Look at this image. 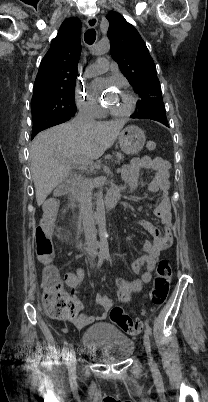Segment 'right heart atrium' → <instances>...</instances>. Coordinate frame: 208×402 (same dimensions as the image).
<instances>
[{
  "label": "right heart atrium",
  "mask_w": 208,
  "mask_h": 402,
  "mask_svg": "<svg viewBox=\"0 0 208 402\" xmlns=\"http://www.w3.org/2000/svg\"><path fill=\"white\" fill-rule=\"evenodd\" d=\"M74 97L78 107L91 119H100L104 110L98 99L88 90L87 87L77 85L74 90Z\"/></svg>",
  "instance_id": "right-heart-atrium-1"
}]
</instances>
